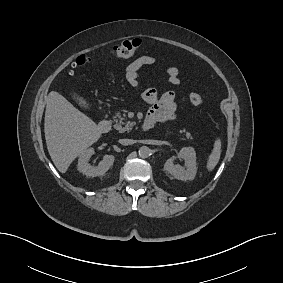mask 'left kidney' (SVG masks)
<instances>
[{"instance_id":"5707ae66","label":"left kidney","mask_w":283,"mask_h":283,"mask_svg":"<svg viewBox=\"0 0 283 283\" xmlns=\"http://www.w3.org/2000/svg\"><path fill=\"white\" fill-rule=\"evenodd\" d=\"M185 161L186 169L179 164H174V160ZM164 170L171 174L175 179L186 181L193 180L197 173L196 153L192 147H183L177 156L168 159L164 164Z\"/></svg>"}]
</instances>
